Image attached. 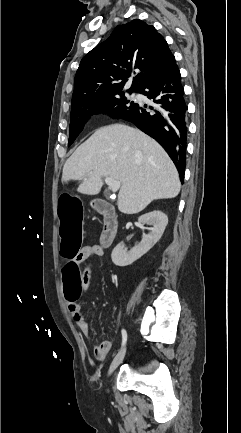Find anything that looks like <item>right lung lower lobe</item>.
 Segmentation results:
<instances>
[{
  "label": "right lung lower lobe",
  "instance_id": "obj_1",
  "mask_svg": "<svg viewBox=\"0 0 241 433\" xmlns=\"http://www.w3.org/2000/svg\"><path fill=\"white\" fill-rule=\"evenodd\" d=\"M180 71L174 62L170 68L155 77L138 92L153 99L156 106H137L124 120L134 123L154 138L173 160L181 181L184 179L187 147V105ZM150 109V110H149Z\"/></svg>",
  "mask_w": 241,
  "mask_h": 433
}]
</instances>
